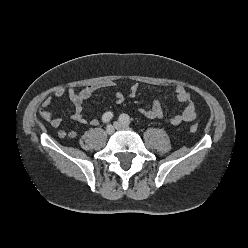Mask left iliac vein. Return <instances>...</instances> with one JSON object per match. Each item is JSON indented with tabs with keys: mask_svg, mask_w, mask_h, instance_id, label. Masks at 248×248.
<instances>
[{
	"mask_svg": "<svg viewBox=\"0 0 248 248\" xmlns=\"http://www.w3.org/2000/svg\"><path fill=\"white\" fill-rule=\"evenodd\" d=\"M114 126L116 129H128V125H125L121 122H115Z\"/></svg>",
	"mask_w": 248,
	"mask_h": 248,
	"instance_id": "left-iliac-vein-1",
	"label": "left iliac vein"
}]
</instances>
